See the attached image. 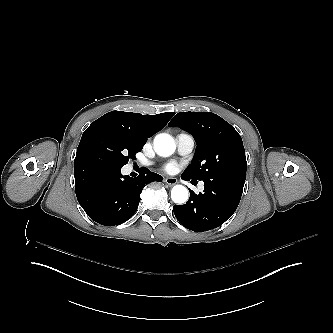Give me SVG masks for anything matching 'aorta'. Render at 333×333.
Returning <instances> with one entry per match:
<instances>
[{"mask_svg":"<svg viewBox=\"0 0 333 333\" xmlns=\"http://www.w3.org/2000/svg\"><path fill=\"white\" fill-rule=\"evenodd\" d=\"M154 150L161 157H169L176 150L172 136L161 133L154 138ZM171 199L174 203L183 204L188 200V189L183 185H175L171 190Z\"/></svg>","mask_w":333,"mask_h":333,"instance_id":"762f6f07","label":"aorta"}]
</instances>
